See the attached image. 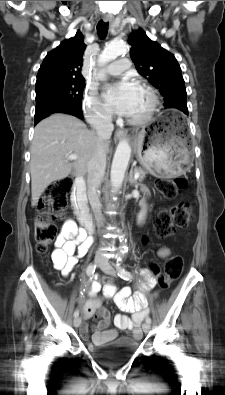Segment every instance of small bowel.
<instances>
[{"instance_id":"1","label":"small bowel","mask_w":225,"mask_h":395,"mask_svg":"<svg viewBox=\"0 0 225 395\" xmlns=\"http://www.w3.org/2000/svg\"><path fill=\"white\" fill-rule=\"evenodd\" d=\"M93 243V238L83 229H78L73 221H66L61 229L60 235L56 240V248L52 253V260L56 269L68 275L77 265L79 258L85 256ZM169 249L162 247L158 254L161 258L169 255ZM144 279V289L152 288L156 283L155 275L150 272L141 271ZM117 283L105 284L103 292L106 297H114L118 308L125 312L132 313V317L124 314H118L114 318L116 328L109 329L110 314L108 311L101 309L98 312L99 321L96 325L95 332L92 335V341L95 345H102L112 341L118 336V329L128 331L134 339H140L142 334L140 323L147 313L146 299L142 293L131 296L129 288L125 287L117 291ZM101 284L98 281L91 283L89 288L90 299L82 306V317L85 321L91 319L100 307L98 293ZM81 336L88 338V326L83 324L81 327Z\"/></svg>"}]
</instances>
